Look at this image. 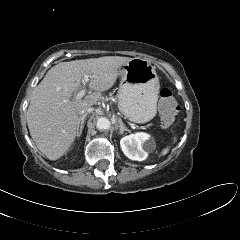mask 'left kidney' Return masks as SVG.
Masks as SVG:
<instances>
[{"instance_id": "5707ae66", "label": "left kidney", "mask_w": 240, "mask_h": 240, "mask_svg": "<svg viewBox=\"0 0 240 240\" xmlns=\"http://www.w3.org/2000/svg\"><path fill=\"white\" fill-rule=\"evenodd\" d=\"M123 153L131 160L143 161L155 147L150 135L139 132L130 134L120 140Z\"/></svg>"}]
</instances>
